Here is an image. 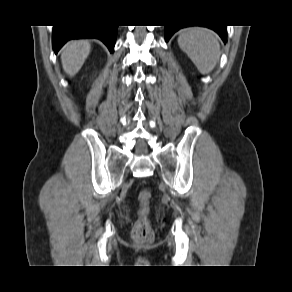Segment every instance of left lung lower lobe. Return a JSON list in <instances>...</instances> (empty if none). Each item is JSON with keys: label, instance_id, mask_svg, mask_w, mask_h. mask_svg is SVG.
I'll use <instances>...</instances> for the list:
<instances>
[{"label": "left lung lower lobe", "instance_id": "1", "mask_svg": "<svg viewBox=\"0 0 292 292\" xmlns=\"http://www.w3.org/2000/svg\"><path fill=\"white\" fill-rule=\"evenodd\" d=\"M187 27L184 25H170V26H165L166 30V41L169 40V38L180 28ZM209 27L213 30H215L220 37L223 39L224 42H226V36H227V28L226 26H206Z\"/></svg>", "mask_w": 292, "mask_h": 292}]
</instances>
